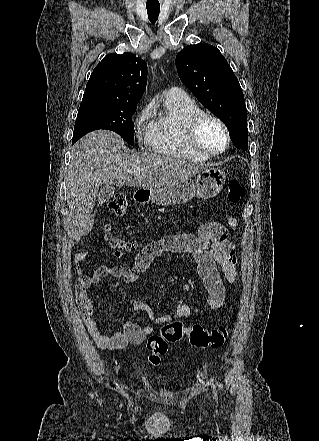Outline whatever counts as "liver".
Wrapping results in <instances>:
<instances>
[{
	"label": "liver",
	"instance_id": "6515ba94",
	"mask_svg": "<svg viewBox=\"0 0 319 441\" xmlns=\"http://www.w3.org/2000/svg\"><path fill=\"white\" fill-rule=\"evenodd\" d=\"M208 166L152 153H130L123 139L111 131L85 135L72 147L68 168L69 246L92 230L93 208L103 184L153 190L174 186ZM135 169L140 174L132 178L130 172Z\"/></svg>",
	"mask_w": 319,
	"mask_h": 441
}]
</instances>
